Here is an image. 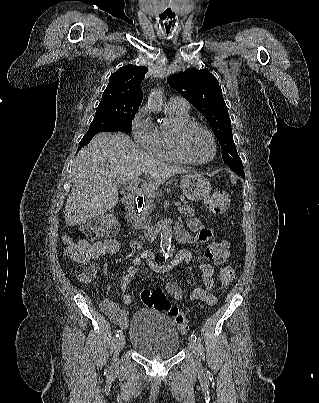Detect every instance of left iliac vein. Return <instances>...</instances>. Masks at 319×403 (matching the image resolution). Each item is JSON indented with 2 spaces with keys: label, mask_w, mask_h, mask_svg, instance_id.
<instances>
[{
  "label": "left iliac vein",
  "mask_w": 319,
  "mask_h": 403,
  "mask_svg": "<svg viewBox=\"0 0 319 403\" xmlns=\"http://www.w3.org/2000/svg\"><path fill=\"white\" fill-rule=\"evenodd\" d=\"M188 347L195 354L197 366L200 367L199 347L196 341L190 338L188 341Z\"/></svg>",
  "instance_id": "obj_1"
}]
</instances>
